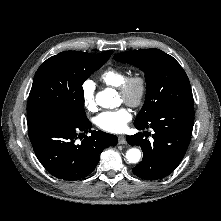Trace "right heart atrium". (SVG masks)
<instances>
[{
  "label": "right heart atrium",
  "instance_id": "right-heart-atrium-1",
  "mask_svg": "<svg viewBox=\"0 0 221 221\" xmlns=\"http://www.w3.org/2000/svg\"><path fill=\"white\" fill-rule=\"evenodd\" d=\"M83 104L89 111L96 109L95 83L92 80H86L81 86Z\"/></svg>",
  "mask_w": 221,
  "mask_h": 221
}]
</instances>
